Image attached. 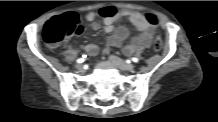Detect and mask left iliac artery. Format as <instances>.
I'll return each instance as SVG.
<instances>
[{"instance_id": "left-iliac-artery-1", "label": "left iliac artery", "mask_w": 218, "mask_h": 122, "mask_svg": "<svg viewBox=\"0 0 218 122\" xmlns=\"http://www.w3.org/2000/svg\"><path fill=\"white\" fill-rule=\"evenodd\" d=\"M132 61L135 62V63H137V62L139 61V59L136 58V57H134V58H132Z\"/></svg>"}]
</instances>
